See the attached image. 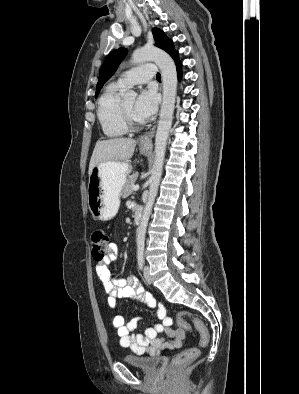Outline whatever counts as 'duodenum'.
<instances>
[{
    "label": "duodenum",
    "instance_id": "obj_1",
    "mask_svg": "<svg viewBox=\"0 0 299 394\" xmlns=\"http://www.w3.org/2000/svg\"><path fill=\"white\" fill-rule=\"evenodd\" d=\"M142 220V211L141 210H136L135 215H134V221L136 224H139Z\"/></svg>",
    "mask_w": 299,
    "mask_h": 394
}]
</instances>
